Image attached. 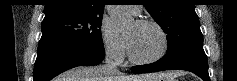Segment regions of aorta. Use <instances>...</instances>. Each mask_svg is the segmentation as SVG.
Listing matches in <instances>:
<instances>
[{
  "label": "aorta",
  "mask_w": 237,
  "mask_h": 81,
  "mask_svg": "<svg viewBox=\"0 0 237 81\" xmlns=\"http://www.w3.org/2000/svg\"><path fill=\"white\" fill-rule=\"evenodd\" d=\"M108 14L117 31H124L134 23L133 16L127 11L124 5H110Z\"/></svg>",
  "instance_id": "aorta-1"
}]
</instances>
